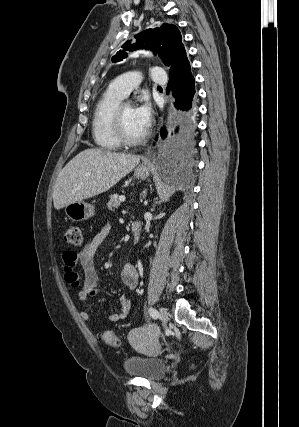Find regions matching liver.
<instances>
[{
    "label": "liver",
    "mask_w": 299,
    "mask_h": 427,
    "mask_svg": "<svg viewBox=\"0 0 299 427\" xmlns=\"http://www.w3.org/2000/svg\"><path fill=\"white\" fill-rule=\"evenodd\" d=\"M140 156L85 149L59 173L53 191L54 208L106 192L140 162Z\"/></svg>",
    "instance_id": "liver-1"
}]
</instances>
